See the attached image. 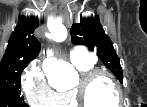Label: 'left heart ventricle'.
<instances>
[{
    "instance_id": "b2bd125f",
    "label": "left heart ventricle",
    "mask_w": 147,
    "mask_h": 107,
    "mask_svg": "<svg viewBox=\"0 0 147 107\" xmlns=\"http://www.w3.org/2000/svg\"><path fill=\"white\" fill-rule=\"evenodd\" d=\"M87 99L91 107H113L118 103L116 88L107 78H100L90 87Z\"/></svg>"
}]
</instances>
